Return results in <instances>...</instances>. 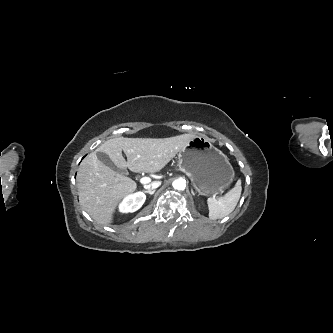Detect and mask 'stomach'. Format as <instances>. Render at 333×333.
<instances>
[{
  "label": "stomach",
  "mask_w": 333,
  "mask_h": 333,
  "mask_svg": "<svg viewBox=\"0 0 333 333\" xmlns=\"http://www.w3.org/2000/svg\"><path fill=\"white\" fill-rule=\"evenodd\" d=\"M178 166L203 196L222 194L235 175L227 156L203 136H195L179 152Z\"/></svg>",
  "instance_id": "0dacf381"
}]
</instances>
